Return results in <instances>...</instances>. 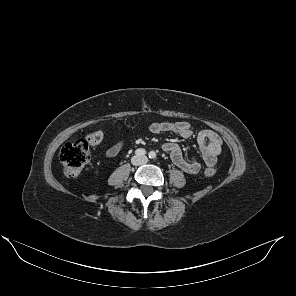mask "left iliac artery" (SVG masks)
Here are the masks:
<instances>
[{"mask_svg":"<svg viewBox=\"0 0 296 296\" xmlns=\"http://www.w3.org/2000/svg\"><path fill=\"white\" fill-rule=\"evenodd\" d=\"M149 158L154 159L156 158V153L154 151L149 152L148 154Z\"/></svg>","mask_w":296,"mask_h":296,"instance_id":"1","label":"left iliac artery"}]
</instances>
